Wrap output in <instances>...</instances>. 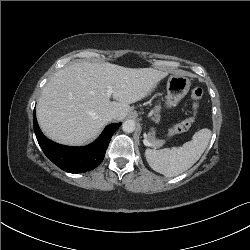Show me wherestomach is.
Wrapping results in <instances>:
<instances>
[{
	"instance_id": "stomach-1",
	"label": "stomach",
	"mask_w": 250,
	"mask_h": 250,
	"mask_svg": "<svg viewBox=\"0 0 250 250\" xmlns=\"http://www.w3.org/2000/svg\"><path fill=\"white\" fill-rule=\"evenodd\" d=\"M191 86L190 80L181 74H173L167 82V96L165 106L167 108L176 107L185 97Z\"/></svg>"
}]
</instances>
